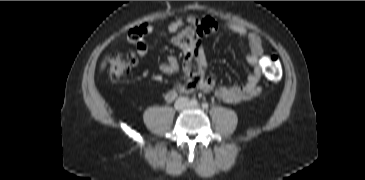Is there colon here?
Here are the masks:
<instances>
[{
  "instance_id": "obj_1",
  "label": "colon",
  "mask_w": 365,
  "mask_h": 180,
  "mask_svg": "<svg viewBox=\"0 0 365 180\" xmlns=\"http://www.w3.org/2000/svg\"><path fill=\"white\" fill-rule=\"evenodd\" d=\"M151 32L148 25H140L132 28L127 35L128 41L134 44L140 43L144 36ZM137 64L134 52H115L109 57V76L112 81H119L128 75ZM262 69L267 79L276 82L281 77L280 60L275 54H267L262 59Z\"/></svg>"
}]
</instances>
